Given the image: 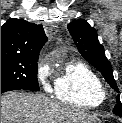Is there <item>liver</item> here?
Instances as JSON below:
<instances>
[{
    "instance_id": "6515ba94",
    "label": "liver",
    "mask_w": 122,
    "mask_h": 123,
    "mask_svg": "<svg viewBox=\"0 0 122 123\" xmlns=\"http://www.w3.org/2000/svg\"><path fill=\"white\" fill-rule=\"evenodd\" d=\"M1 123H101L87 110L23 91L1 96Z\"/></svg>"
}]
</instances>
